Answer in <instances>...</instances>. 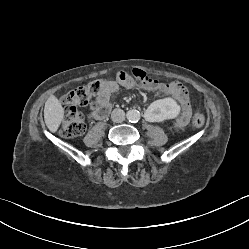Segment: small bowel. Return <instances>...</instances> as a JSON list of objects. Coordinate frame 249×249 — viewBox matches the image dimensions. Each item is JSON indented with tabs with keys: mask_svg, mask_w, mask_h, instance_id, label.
Wrapping results in <instances>:
<instances>
[{
	"mask_svg": "<svg viewBox=\"0 0 249 249\" xmlns=\"http://www.w3.org/2000/svg\"><path fill=\"white\" fill-rule=\"evenodd\" d=\"M136 86H145L150 90H158L152 95L156 100L167 93L176 96L182 105V112L176 120V125L181 128L188 124L191 107L184 87L175 81L158 83L155 77L146 74L141 67H136L130 75L125 72H118L115 80H109L97 95L96 101L99 107L91 113V117L96 120L106 119L112 108L111 99L119 93L120 88L132 89Z\"/></svg>",
	"mask_w": 249,
	"mask_h": 249,
	"instance_id": "obj_1",
	"label": "small bowel"
}]
</instances>
